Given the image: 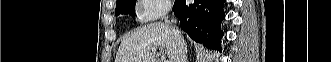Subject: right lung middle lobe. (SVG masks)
Segmentation results:
<instances>
[{
	"mask_svg": "<svg viewBox=\"0 0 331 62\" xmlns=\"http://www.w3.org/2000/svg\"><path fill=\"white\" fill-rule=\"evenodd\" d=\"M135 6V1L133 0H120L116 3L115 14H129L134 16L133 8Z\"/></svg>",
	"mask_w": 331,
	"mask_h": 62,
	"instance_id": "dd1d6c3e",
	"label": "right lung middle lobe"
}]
</instances>
